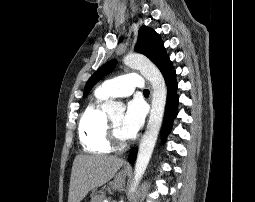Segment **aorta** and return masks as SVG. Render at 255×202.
Returning <instances> with one entry per match:
<instances>
[{"label":"aorta","instance_id":"obj_1","mask_svg":"<svg viewBox=\"0 0 255 202\" xmlns=\"http://www.w3.org/2000/svg\"><path fill=\"white\" fill-rule=\"evenodd\" d=\"M124 64L137 69L151 83L153 88L151 111L145 134L140 142L135 163L134 182L131 191H135L152 156L161 128L167 98V87L159 69L145 56L129 54L124 57ZM109 116L122 115L125 107L116 101H107L103 107Z\"/></svg>","mask_w":255,"mask_h":202}]
</instances>
